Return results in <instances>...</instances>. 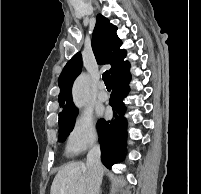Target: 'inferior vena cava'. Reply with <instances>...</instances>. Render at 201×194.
<instances>
[{"instance_id": "obj_1", "label": "inferior vena cava", "mask_w": 201, "mask_h": 194, "mask_svg": "<svg viewBox=\"0 0 201 194\" xmlns=\"http://www.w3.org/2000/svg\"><path fill=\"white\" fill-rule=\"evenodd\" d=\"M101 150L98 144H93L87 154V168L89 172L86 194H98L103 176L100 161Z\"/></svg>"}]
</instances>
